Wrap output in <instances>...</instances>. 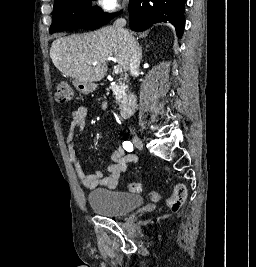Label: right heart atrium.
Masks as SVG:
<instances>
[{
  "instance_id": "1",
  "label": "right heart atrium",
  "mask_w": 256,
  "mask_h": 267,
  "mask_svg": "<svg viewBox=\"0 0 256 267\" xmlns=\"http://www.w3.org/2000/svg\"><path fill=\"white\" fill-rule=\"evenodd\" d=\"M106 56H110V54H105Z\"/></svg>"
}]
</instances>
